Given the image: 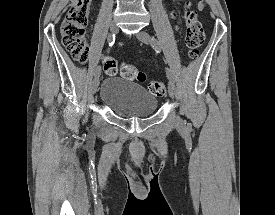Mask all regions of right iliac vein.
<instances>
[{"label":"right iliac vein","instance_id":"63e3f726","mask_svg":"<svg viewBox=\"0 0 275 215\" xmlns=\"http://www.w3.org/2000/svg\"><path fill=\"white\" fill-rule=\"evenodd\" d=\"M110 31L112 33H117L118 27H117V24L115 22H113L110 25ZM99 80H100V73L96 74L93 81H92L91 89H92L93 93H96V91H97V88H98V85H99Z\"/></svg>","mask_w":275,"mask_h":215}]
</instances>
